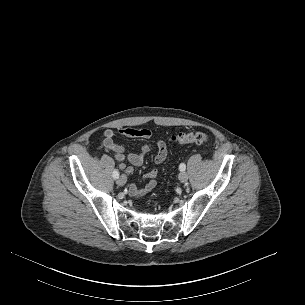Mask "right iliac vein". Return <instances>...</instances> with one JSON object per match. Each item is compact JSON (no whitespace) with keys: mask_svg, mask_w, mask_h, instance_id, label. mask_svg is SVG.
<instances>
[{"mask_svg":"<svg viewBox=\"0 0 305 305\" xmlns=\"http://www.w3.org/2000/svg\"><path fill=\"white\" fill-rule=\"evenodd\" d=\"M126 182H127V178H126L125 175H121V176L117 179V184H118L119 186L125 185Z\"/></svg>","mask_w":305,"mask_h":305,"instance_id":"right-iliac-vein-1","label":"right iliac vein"}]
</instances>
